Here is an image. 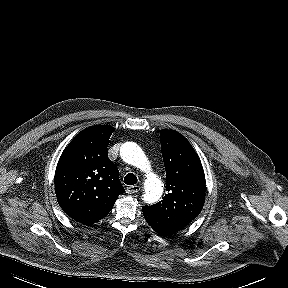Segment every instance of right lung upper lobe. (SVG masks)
Masks as SVG:
<instances>
[{
    "label": "right lung upper lobe",
    "mask_w": 288,
    "mask_h": 288,
    "mask_svg": "<svg viewBox=\"0 0 288 288\" xmlns=\"http://www.w3.org/2000/svg\"><path fill=\"white\" fill-rule=\"evenodd\" d=\"M113 131L108 125L84 129L65 148L57 164L58 203L68 216L86 225L104 218L124 192L118 168L107 153Z\"/></svg>",
    "instance_id": "right-lung-upper-lobe-1"
}]
</instances>
